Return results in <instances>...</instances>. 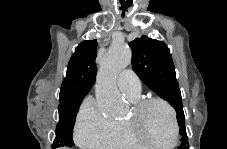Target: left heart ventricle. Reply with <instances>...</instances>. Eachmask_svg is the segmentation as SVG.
Returning <instances> with one entry per match:
<instances>
[{
    "instance_id": "left-heart-ventricle-1",
    "label": "left heart ventricle",
    "mask_w": 227,
    "mask_h": 149,
    "mask_svg": "<svg viewBox=\"0 0 227 149\" xmlns=\"http://www.w3.org/2000/svg\"><path fill=\"white\" fill-rule=\"evenodd\" d=\"M140 126L146 137L155 143L168 144L172 141V118L167 108L161 104H152L145 109Z\"/></svg>"
}]
</instances>
